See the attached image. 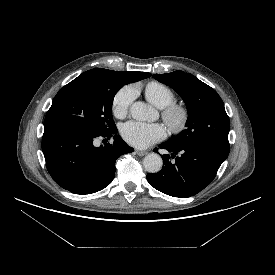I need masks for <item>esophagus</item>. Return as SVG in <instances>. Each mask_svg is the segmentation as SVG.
<instances>
[{"mask_svg":"<svg viewBox=\"0 0 275 275\" xmlns=\"http://www.w3.org/2000/svg\"><path fill=\"white\" fill-rule=\"evenodd\" d=\"M135 152H136V154L139 155V156H144V155L147 154L146 151H141V150H136Z\"/></svg>","mask_w":275,"mask_h":275,"instance_id":"esophagus-1","label":"esophagus"}]
</instances>
